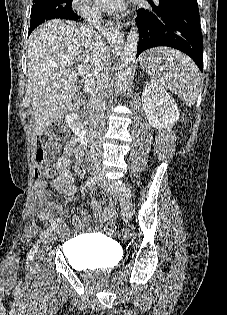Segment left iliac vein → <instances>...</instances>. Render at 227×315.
I'll return each instance as SVG.
<instances>
[{
	"instance_id": "obj_1",
	"label": "left iliac vein",
	"mask_w": 227,
	"mask_h": 315,
	"mask_svg": "<svg viewBox=\"0 0 227 315\" xmlns=\"http://www.w3.org/2000/svg\"><path fill=\"white\" fill-rule=\"evenodd\" d=\"M99 185L105 187L110 195L121 203L125 216L132 218L134 214V204L131 201V189L121 181L110 180L103 176L99 178Z\"/></svg>"
}]
</instances>
